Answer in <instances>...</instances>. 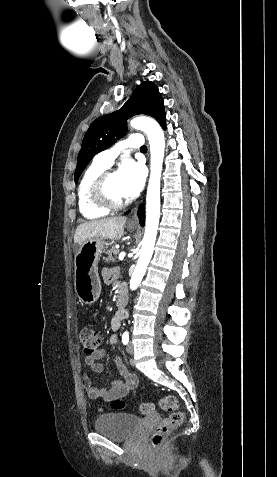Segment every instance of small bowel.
Instances as JSON below:
<instances>
[{
	"instance_id": "small-bowel-1",
	"label": "small bowel",
	"mask_w": 277,
	"mask_h": 477,
	"mask_svg": "<svg viewBox=\"0 0 277 477\" xmlns=\"http://www.w3.org/2000/svg\"><path fill=\"white\" fill-rule=\"evenodd\" d=\"M118 276V270L116 268H105L102 271L103 280L106 283H113ZM125 318L124 313H117L113 316L111 320V329L116 332L121 326L122 320ZM117 335L113 334L110 337L109 343L112 348L115 347L117 343ZM106 355L104 349H98L92 355L85 357V364L91 368L95 373H101L103 371V364L100 362ZM115 367L119 372L121 379L113 380L110 383L108 389L103 387H96L92 384L91 380L84 376L83 383L87 394L92 399H101L104 401H113L116 399H121L125 397L130 391L136 388L138 384V378L136 375L130 373L126 367L122 364L119 357H115Z\"/></svg>"
}]
</instances>
